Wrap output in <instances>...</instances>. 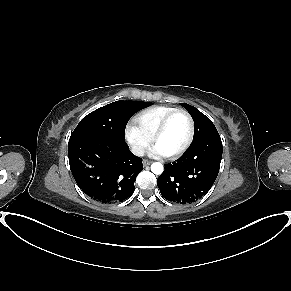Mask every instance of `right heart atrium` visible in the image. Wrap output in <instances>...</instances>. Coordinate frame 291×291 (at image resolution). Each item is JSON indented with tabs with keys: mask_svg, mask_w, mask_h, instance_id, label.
Listing matches in <instances>:
<instances>
[{
	"mask_svg": "<svg viewBox=\"0 0 291 291\" xmlns=\"http://www.w3.org/2000/svg\"><path fill=\"white\" fill-rule=\"evenodd\" d=\"M125 136L137 156H141L151 143V138L133 123L126 127Z\"/></svg>",
	"mask_w": 291,
	"mask_h": 291,
	"instance_id": "right-heart-atrium-1",
	"label": "right heart atrium"
}]
</instances>
